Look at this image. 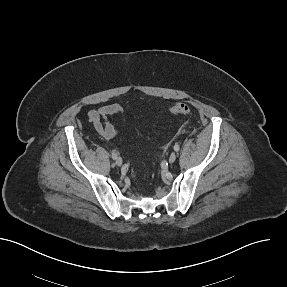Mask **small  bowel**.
Instances as JSON below:
<instances>
[{"mask_svg": "<svg viewBox=\"0 0 287 287\" xmlns=\"http://www.w3.org/2000/svg\"><path fill=\"white\" fill-rule=\"evenodd\" d=\"M122 112L123 108L121 105L112 103L90 110L87 114V118L103 139L111 140L118 136L120 129L110 123L107 117L110 115H118Z\"/></svg>", "mask_w": 287, "mask_h": 287, "instance_id": "1", "label": "small bowel"}]
</instances>
